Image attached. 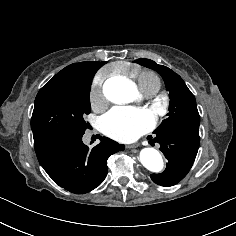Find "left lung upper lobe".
<instances>
[{
    "mask_svg": "<svg viewBox=\"0 0 236 236\" xmlns=\"http://www.w3.org/2000/svg\"><path fill=\"white\" fill-rule=\"evenodd\" d=\"M134 62L156 70L162 76L166 88L170 92L169 117L163 120L153 133L160 136L165 131H179L199 136L200 116L196 100L183 79L173 70L158 65L150 59L140 58Z\"/></svg>",
    "mask_w": 236,
    "mask_h": 236,
    "instance_id": "1",
    "label": "left lung upper lobe"
}]
</instances>
